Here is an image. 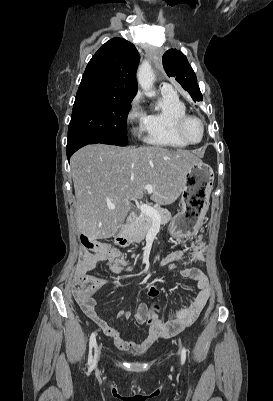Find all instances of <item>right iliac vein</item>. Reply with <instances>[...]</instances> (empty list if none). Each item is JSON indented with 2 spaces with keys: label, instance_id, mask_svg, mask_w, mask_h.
Listing matches in <instances>:
<instances>
[{
  "label": "right iliac vein",
  "instance_id": "63e3f726",
  "mask_svg": "<svg viewBox=\"0 0 273 401\" xmlns=\"http://www.w3.org/2000/svg\"><path fill=\"white\" fill-rule=\"evenodd\" d=\"M101 354V346H97L95 349V362L97 363Z\"/></svg>",
  "mask_w": 273,
  "mask_h": 401
}]
</instances>
